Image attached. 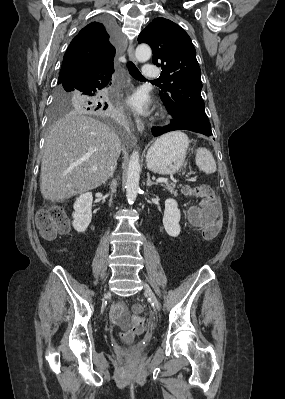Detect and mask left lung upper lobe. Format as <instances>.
Here are the masks:
<instances>
[{
    "label": "left lung upper lobe",
    "instance_id": "obj_1",
    "mask_svg": "<svg viewBox=\"0 0 285 399\" xmlns=\"http://www.w3.org/2000/svg\"><path fill=\"white\" fill-rule=\"evenodd\" d=\"M153 49V63L162 68L160 97L173 123L212 135L201 97L202 82L196 51L189 35L174 22L155 18L138 36Z\"/></svg>",
    "mask_w": 285,
    "mask_h": 399
}]
</instances>
